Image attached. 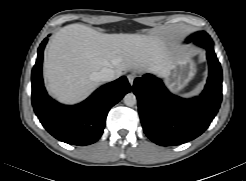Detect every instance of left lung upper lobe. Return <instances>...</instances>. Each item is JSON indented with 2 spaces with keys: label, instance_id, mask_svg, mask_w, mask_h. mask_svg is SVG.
Instances as JSON below:
<instances>
[{
  "label": "left lung upper lobe",
  "instance_id": "left-lung-upper-lobe-1",
  "mask_svg": "<svg viewBox=\"0 0 246 181\" xmlns=\"http://www.w3.org/2000/svg\"><path fill=\"white\" fill-rule=\"evenodd\" d=\"M198 38H210V36L206 32H199L189 37L188 41L195 40Z\"/></svg>",
  "mask_w": 246,
  "mask_h": 181
}]
</instances>
